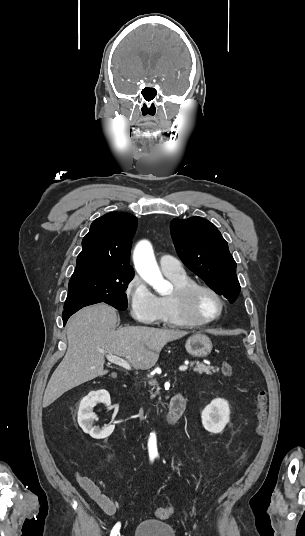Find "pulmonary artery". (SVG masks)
Instances as JSON below:
<instances>
[{
  "label": "pulmonary artery",
  "instance_id": "obj_1",
  "mask_svg": "<svg viewBox=\"0 0 305 536\" xmlns=\"http://www.w3.org/2000/svg\"><path fill=\"white\" fill-rule=\"evenodd\" d=\"M159 265L161 270L165 274H182L184 273V268L179 263V261L169 255H162L159 257Z\"/></svg>",
  "mask_w": 305,
  "mask_h": 536
}]
</instances>
